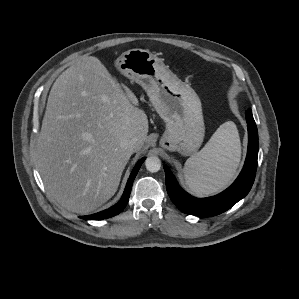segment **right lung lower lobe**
Wrapping results in <instances>:
<instances>
[{"label":"right lung lower lobe","mask_w":299,"mask_h":299,"mask_svg":"<svg viewBox=\"0 0 299 299\" xmlns=\"http://www.w3.org/2000/svg\"><path fill=\"white\" fill-rule=\"evenodd\" d=\"M145 157L142 158L141 160L138 161V163L135 165L133 171L131 172V175L129 177V180L127 182L126 188L124 190L123 196L120 199V201L112 206L111 208L101 211L99 213L93 214V215H88V216H82L80 218H83L85 220H101V219H106V218H110L112 216H115L117 214H119L127 205L128 200H129V196H130V192H131V187L134 181V178L136 177L142 163L144 162Z\"/></svg>","instance_id":"obj_1"}]
</instances>
